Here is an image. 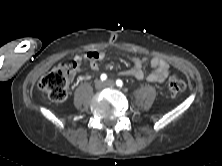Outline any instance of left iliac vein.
Instances as JSON below:
<instances>
[{
	"label": "left iliac vein",
	"instance_id": "1",
	"mask_svg": "<svg viewBox=\"0 0 222 166\" xmlns=\"http://www.w3.org/2000/svg\"><path fill=\"white\" fill-rule=\"evenodd\" d=\"M105 85L106 86H114L115 85V82L113 81V80H107L106 82H105Z\"/></svg>",
	"mask_w": 222,
	"mask_h": 166
}]
</instances>
